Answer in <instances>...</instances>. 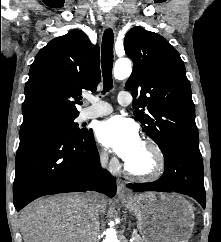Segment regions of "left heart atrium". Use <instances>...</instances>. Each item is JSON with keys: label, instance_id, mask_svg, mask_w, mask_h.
<instances>
[{"label": "left heart atrium", "instance_id": "obj_1", "mask_svg": "<svg viewBox=\"0 0 221 242\" xmlns=\"http://www.w3.org/2000/svg\"><path fill=\"white\" fill-rule=\"evenodd\" d=\"M96 136L101 144L112 149L126 163L142 146L135 123L119 116L101 122L97 127Z\"/></svg>", "mask_w": 221, "mask_h": 242}]
</instances>
